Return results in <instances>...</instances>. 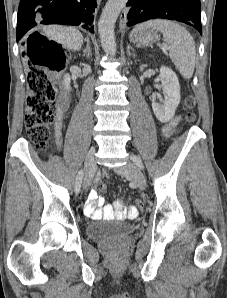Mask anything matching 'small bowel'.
<instances>
[{
	"label": "small bowel",
	"mask_w": 227,
	"mask_h": 298,
	"mask_svg": "<svg viewBox=\"0 0 227 298\" xmlns=\"http://www.w3.org/2000/svg\"><path fill=\"white\" fill-rule=\"evenodd\" d=\"M64 109H65V106L62 105L56 117L55 128H56V137L58 140H60L61 138V128H62L61 115ZM178 123H179V117H175L168 123L164 124L162 127L163 135L165 137H169L170 135H172ZM104 202H105L104 198L98 195V191L92 190L89 193L88 200L84 206L85 215L93 219H100L102 217L123 218L126 215H131V213H135V215L136 213H138V208H135V207H131L129 210H122V206L120 202H115L113 205H105Z\"/></svg>",
	"instance_id": "c3829d8e"
}]
</instances>
